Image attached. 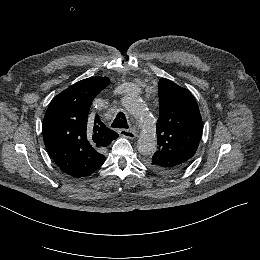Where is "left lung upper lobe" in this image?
I'll return each instance as SVG.
<instances>
[{"mask_svg": "<svg viewBox=\"0 0 260 260\" xmlns=\"http://www.w3.org/2000/svg\"><path fill=\"white\" fill-rule=\"evenodd\" d=\"M158 150L148 166L164 174H176L192 162L202 135V118L191 93L170 80L160 79Z\"/></svg>", "mask_w": 260, "mask_h": 260, "instance_id": "5c2ea615", "label": "left lung upper lobe"}]
</instances>
